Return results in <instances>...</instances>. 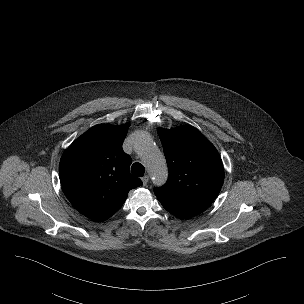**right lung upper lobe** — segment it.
Segmentation results:
<instances>
[{
  "mask_svg": "<svg viewBox=\"0 0 304 304\" xmlns=\"http://www.w3.org/2000/svg\"><path fill=\"white\" fill-rule=\"evenodd\" d=\"M129 124H100L63 153L59 175L64 193L83 215L104 221L118 211L142 181L130 174L131 157L122 149Z\"/></svg>",
  "mask_w": 304,
  "mask_h": 304,
  "instance_id": "cb5924a9",
  "label": "right lung upper lobe"
}]
</instances>
